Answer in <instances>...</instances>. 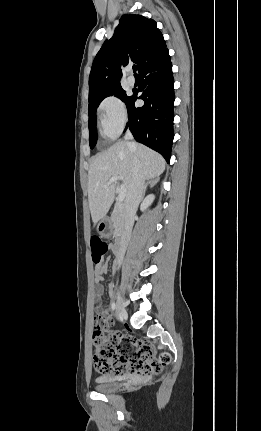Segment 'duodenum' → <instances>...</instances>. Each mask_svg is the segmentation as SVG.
Listing matches in <instances>:
<instances>
[{
    "instance_id": "410a0bca",
    "label": "duodenum",
    "mask_w": 261,
    "mask_h": 431,
    "mask_svg": "<svg viewBox=\"0 0 261 431\" xmlns=\"http://www.w3.org/2000/svg\"><path fill=\"white\" fill-rule=\"evenodd\" d=\"M120 249H121V239H119L114 245H113V247H112V251L115 253V254H119L120 253Z\"/></svg>"
}]
</instances>
